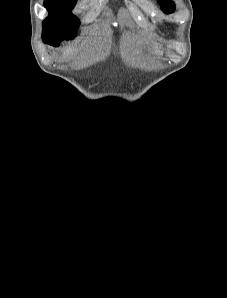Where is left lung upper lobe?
Instances as JSON below:
<instances>
[{
    "mask_svg": "<svg viewBox=\"0 0 227 298\" xmlns=\"http://www.w3.org/2000/svg\"><path fill=\"white\" fill-rule=\"evenodd\" d=\"M158 3L161 5V9L167 14L172 13L175 9L174 2L170 0H158Z\"/></svg>",
    "mask_w": 227,
    "mask_h": 298,
    "instance_id": "obj_1",
    "label": "left lung upper lobe"
}]
</instances>
